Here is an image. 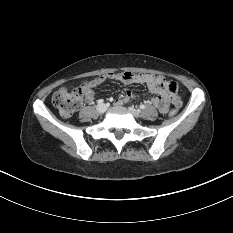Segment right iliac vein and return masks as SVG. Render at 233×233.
<instances>
[{"label": "right iliac vein", "instance_id": "obj_1", "mask_svg": "<svg viewBox=\"0 0 233 233\" xmlns=\"http://www.w3.org/2000/svg\"><path fill=\"white\" fill-rule=\"evenodd\" d=\"M96 108L99 113H104L107 110V106L105 104H99Z\"/></svg>", "mask_w": 233, "mask_h": 233}]
</instances>
